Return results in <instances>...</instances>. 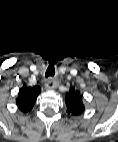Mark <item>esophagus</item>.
<instances>
[{"label":"esophagus","instance_id":"34e87169","mask_svg":"<svg viewBox=\"0 0 118 142\" xmlns=\"http://www.w3.org/2000/svg\"><path fill=\"white\" fill-rule=\"evenodd\" d=\"M45 87L46 89L51 90V89H55L57 87V84L52 80H47L45 83Z\"/></svg>","mask_w":118,"mask_h":142}]
</instances>
